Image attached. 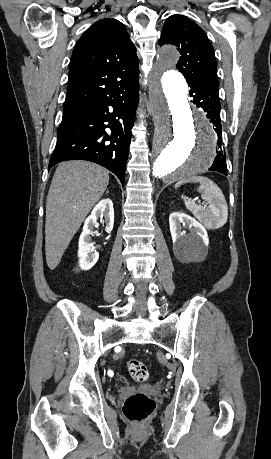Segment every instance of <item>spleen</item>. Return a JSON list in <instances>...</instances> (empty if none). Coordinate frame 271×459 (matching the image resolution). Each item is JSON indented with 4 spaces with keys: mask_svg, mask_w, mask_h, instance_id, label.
Returning <instances> with one entry per match:
<instances>
[{
    "mask_svg": "<svg viewBox=\"0 0 271 459\" xmlns=\"http://www.w3.org/2000/svg\"><path fill=\"white\" fill-rule=\"evenodd\" d=\"M187 182H196V184L199 182L198 192H201L202 200H205L209 204L208 208H203V206H197L191 200H185L187 210H190L193 216L204 224L205 228H222L228 220V206L220 188L216 186L215 182H212L209 178H204V176L185 178V180L177 182L175 188H179L181 184H187Z\"/></svg>",
    "mask_w": 271,
    "mask_h": 459,
    "instance_id": "obj_1",
    "label": "spleen"
}]
</instances>
